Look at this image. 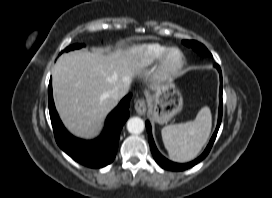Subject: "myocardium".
Returning <instances> with one entry per match:
<instances>
[{"label":"myocardium","mask_w":272,"mask_h":198,"mask_svg":"<svg viewBox=\"0 0 272 198\" xmlns=\"http://www.w3.org/2000/svg\"><path fill=\"white\" fill-rule=\"evenodd\" d=\"M173 53L179 54V60L176 64H170V57ZM185 66V55L179 48H169L159 60L156 75L162 80H171L176 78Z\"/></svg>","instance_id":"f54148a6"}]
</instances>
